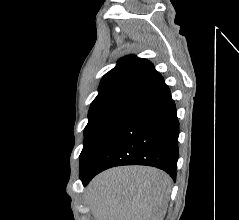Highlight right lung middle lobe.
I'll use <instances>...</instances> for the list:
<instances>
[{"mask_svg": "<svg viewBox=\"0 0 239 220\" xmlns=\"http://www.w3.org/2000/svg\"><path fill=\"white\" fill-rule=\"evenodd\" d=\"M131 106H119L93 115L84 130V147L80 154V177L89 173Z\"/></svg>", "mask_w": 239, "mask_h": 220, "instance_id": "dd1d6c3e", "label": "right lung middle lobe"}]
</instances>
